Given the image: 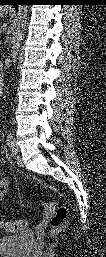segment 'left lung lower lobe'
<instances>
[{
  "mask_svg": "<svg viewBox=\"0 0 106 257\" xmlns=\"http://www.w3.org/2000/svg\"><path fill=\"white\" fill-rule=\"evenodd\" d=\"M18 2H19V1L17 0V1H15V3H13L12 5H14V7L17 8Z\"/></svg>",
  "mask_w": 106,
  "mask_h": 257,
  "instance_id": "obj_1",
  "label": "left lung lower lobe"
}]
</instances>
